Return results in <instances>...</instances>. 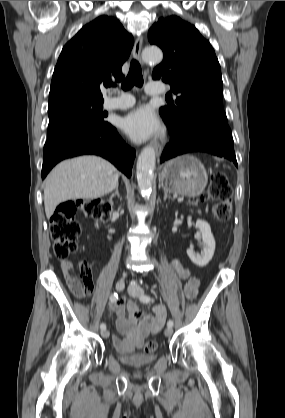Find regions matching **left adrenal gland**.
I'll return each mask as SVG.
<instances>
[{
	"instance_id": "a2214340",
	"label": "left adrenal gland",
	"mask_w": 285,
	"mask_h": 418,
	"mask_svg": "<svg viewBox=\"0 0 285 418\" xmlns=\"http://www.w3.org/2000/svg\"><path fill=\"white\" fill-rule=\"evenodd\" d=\"M167 198L174 200V198H172L170 195H168L167 191H165L164 192V201H166Z\"/></svg>"
}]
</instances>
